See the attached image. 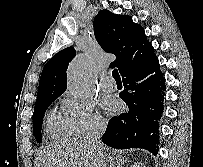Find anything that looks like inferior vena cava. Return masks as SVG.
<instances>
[{
  "mask_svg": "<svg viewBox=\"0 0 203 167\" xmlns=\"http://www.w3.org/2000/svg\"><path fill=\"white\" fill-rule=\"evenodd\" d=\"M107 123L103 120H98L94 123L93 127L87 132L84 140L88 142L95 150L98 151L100 157H103V148L100 138L103 135Z\"/></svg>",
  "mask_w": 203,
  "mask_h": 167,
  "instance_id": "inferior-vena-cava-1",
  "label": "inferior vena cava"
}]
</instances>
